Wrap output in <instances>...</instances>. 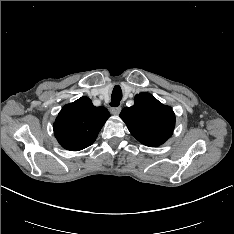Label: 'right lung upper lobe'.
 <instances>
[{
    "mask_svg": "<svg viewBox=\"0 0 234 234\" xmlns=\"http://www.w3.org/2000/svg\"><path fill=\"white\" fill-rule=\"evenodd\" d=\"M109 117L105 107H95L88 97H81L61 109L53 125L55 137L67 150H82L93 144Z\"/></svg>",
    "mask_w": 234,
    "mask_h": 234,
    "instance_id": "right-lung-upper-lobe-1",
    "label": "right lung upper lobe"
}]
</instances>
